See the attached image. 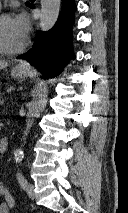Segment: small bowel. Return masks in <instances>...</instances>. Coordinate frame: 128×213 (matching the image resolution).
<instances>
[{
    "mask_svg": "<svg viewBox=\"0 0 128 213\" xmlns=\"http://www.w3.org/2000/svg\"><path fill=\"white\" fill-rule=\"evenodd\" d=\"M0 213H9V208L5 203L0 204Z\"/></svg>",
    "mask_w": 128,
    "mask_h": 213,
    "instance_id": "small-bowel-1",
    "label": "small bowel"
}]
</instances>
